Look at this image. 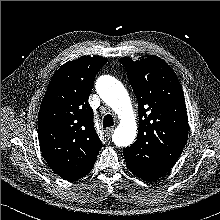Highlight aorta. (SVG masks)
<instances>
[{
	"label": "aorta",
	"mask_w": 220,
	"mask_h": 220,
	"mask_svg": "<svg viewBox=\"0 0 220 220\" xmlns=\"http://www.w3.org/2000/svg\"><path fill=\"white\" fill-rule=\"evenodd\" d=\"M96 89L101 99L110 106L120 119L112 140L115 145L127 147L135 140L137 124L130 97L122 83L112 76L97 80Z\"/></svg>",
	"instance_id": "762f6f07"
}]
</instances>
